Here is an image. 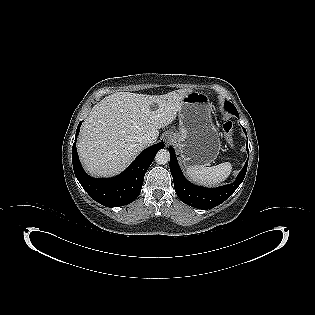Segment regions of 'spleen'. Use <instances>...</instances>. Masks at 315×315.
<instances>
[{"mask_svg":"<svg viewBox=\"0 0 315 315\" xmlns=\"http://www.w3.org/2000/svg\"><path fill=\"white\" fill-rule=\"evenodd\" d=\"M232 171V164L224 162L216 166H189L186 170L188 177L201 185L215 186L227 179Z\"/></svg>","mask_w":315,"mask_h":315,"instance_id":"spleen-1","label":"spleen"}]
</instances>
